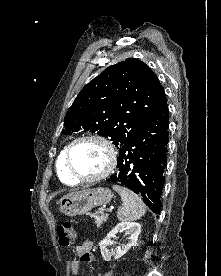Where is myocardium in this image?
<instances>
[{
  "label": "myocardium",
  "mask_w": 221,
  "mask_h": 276,
  "mask_svg": "<svg viewBox=\"0 0 221 276\" xmlns=\"http://www.w3.org/2000/svg\"><path fill=\"white\" fill-rule=\"evenodd\" d=\"M82 141H96V142L100 143L101 145H103V147L105 148V150L108 154V160H107L106 167L104 168V170L102 172H100L99 174H97L95 176H91V177L80 176L72 168V164H71L72 149L76 144H78L79 142H82ZM116 163H117V153H116V150H115L113 144L107 138H105L101 135L88 134V135L80 136V137L74 139L67 146V148L65 150V166H66L67 172L73 179H75L78 182L100 181L112 173V171L114 170V168L116 166Z\"/></svg>",
  "instance_id": "f54148a6"
}]
</instances>
